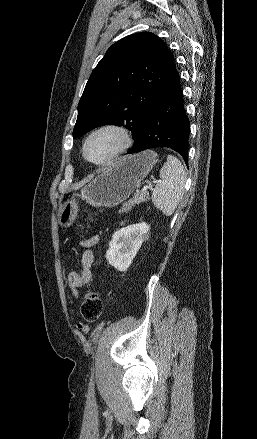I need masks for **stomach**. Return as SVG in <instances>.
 <instances>
[{
    "mask_svg": "<svg viewBox=\"0 0 257 439\" xmlns=\"http://www.w3.org/2000/svg\"><path fill=\"white\" fill-rule=\"evenodd\" d=\"M155 163L156 153L150 150L126 156L82 188L80 198L93 207L117 206L133 193ZM77 213L78 202L73 196L60 206V226L69 227Z\"/></svg>",
    "mask_w": 257,
    "mask_h": 439,
    "instance_id": "0dacf381",
    "label": "stomach"
}]
</instances>
